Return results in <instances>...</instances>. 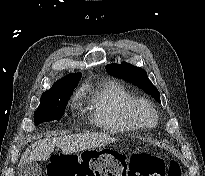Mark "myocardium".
Segmentation results:
<instances>
[{"mask_svg": "<svg viewBox=\"0 0 205 176\" xmlns=\"http://www.w3.org/2000/svg\"><path fill=\"white\" fill-rule=\"evenodd\" d=\"M142 111L150 112L154 116V121L152 123H145L140 116ZM129 115L136 126L142 129H150L154 127L159 120L155 107L148 100L143 98H135L132 101L129 107Z\"/></svg>", "mask_w": 205, "mask_h": 176, "instance_id": "f54148a6", "label": "myocardium"}]
</instances>
